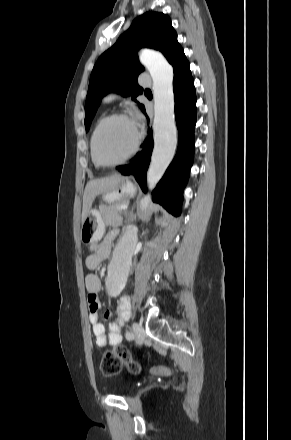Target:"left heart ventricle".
<instances>
[{"label": "left heart ventricle", "instance_id": "obj_1", "mask_svg": "<svg viewBox=\"0 0 291 440\" xmlns=\"http://www.w3.org/2000/svg\"><path fill=\"white\" fill-rule=\"evenodd\" d=\"M136 129L130 120L114 119L101 129L97 140V151L105 161H119L132 149Z\"/></svg>", "mask_w": 291, "mask_h": 440}]
</instances>
